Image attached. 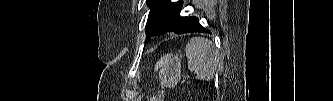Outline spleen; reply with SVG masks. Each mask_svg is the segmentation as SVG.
<instances>
[{"mask_svg":"<svg viewBox=\"0 0 333 101\" xmlns=\"http://www.w3.org/2000/svg\"><path fill=\"white\" fill-rule=\"evenodd\" d=\"M188 69L196 73L199 80L209 81L214 77L220 54L212 41L202 37L191 38L186 45Z\"/></svg>","mask_w":333,"mask_h":101,"instance_id":"1","label":"spleen"}]
</instances>
